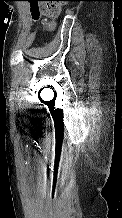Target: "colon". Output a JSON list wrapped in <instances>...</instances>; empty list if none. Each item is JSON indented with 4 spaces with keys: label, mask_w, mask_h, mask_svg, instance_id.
I'll return each mask as SVG.
<instances>
[{
    "label": "colon",
    "mask_w": 122,
    "mask_h": 218,
    "mask_svg": "<svg viewBox=\"0 0 122 218\" xmlns=\"http://www.w3.org/2000/svg\"><path fill=\"white\" fill-rule=\"evenodd\" d=\"M66 0H30L31 16L34 21L43 17V24L47 28L53 26L54 20L59 16L63 2ZM40 5V7H37Z\"/></svg>",
    "instance_id": "obj_1"
}]
</instances>
